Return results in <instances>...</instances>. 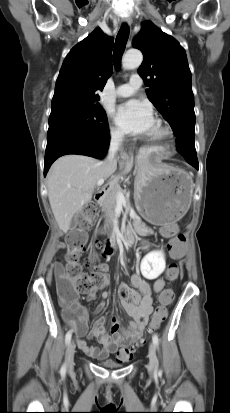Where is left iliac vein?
Returning a JSON list of instances; mask_svg holds the SVG:
<instances>
[{
  "instance_id": "4c4485c4",
  "label": "left iliac vein",
  "mask_w": 230,
  "mask_h": 413,
  "mask_svg": "<svg viewBox=\"0 0 230 413\" xmlns=\"http://www.w3.org/2000/svg\"><path fill=\"white\" fill-rule=\"evenodd\" d=\"M149 363H148V371L149 373L153 374L158 366V360L156 355V349L154 343H150L149 345Z\"/></svg>"
}]
</instances>
